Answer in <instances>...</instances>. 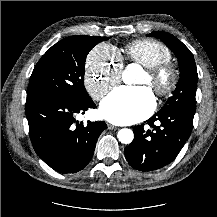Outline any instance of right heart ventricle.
<instances>
[{
    "mask_svg": "<svg viewBox=\"0 0 217 217\" xmlns=\"http://www.w3.org/2000/svg\"><path fill=\"white\" fill-rule=\"evenodd\" d=\"M125 57L139 63L146 68L168 61L171 58L170 50L163 43L148 38L136 39L125 46Z\"/></svg>",
    "mask_w": 217,
    "mask_h": 217,
    "instance_id": "obj_1",
    "label": "right heart ventricle"
}]
</instances>
